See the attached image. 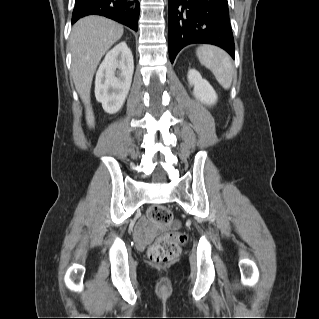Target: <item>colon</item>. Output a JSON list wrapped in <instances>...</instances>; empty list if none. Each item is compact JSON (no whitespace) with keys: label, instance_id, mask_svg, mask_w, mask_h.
<instances>
[{"label":"colon","instance_id":"1","mask_svg":"<svg viewBox=\"0 0 319 319\" xmlns=\"http://www.w3.org/2000/svg\"><path fill=\"white\" fill-rule=\"evenodd\" d=\"M150 222L168 225L172 222V212L164 205H155L149 209ZM186 243V236L182 233L162 234L149 248L147 254L153 265H164L174 262L180 255L182 246Z\"/></svg>","mask_w":319,"mask_h":319}]
</instances>
